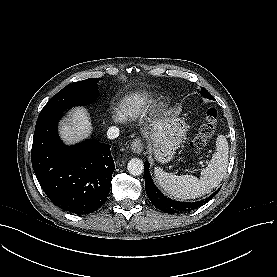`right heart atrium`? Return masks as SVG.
<instances>
[{
  "label": "right heart atrium",
  "instance_id": "obj_1",
  "mask_svg": "<svg viewBox=\"0 0 277 277\" xmlns=\"http://www.w3.org/2000/svg\"><path fill=\"white\" fill-rule=\"evenodd\" d=\"M112 119L115 121V122H118L120 121V116L117 112H115L113 115H112Z\"/></svg>",
  "mask_w": 277,
  "mask_h": 277
}]
</instances>
